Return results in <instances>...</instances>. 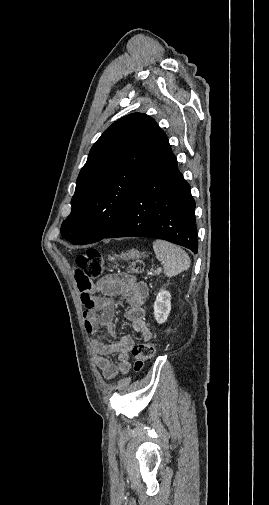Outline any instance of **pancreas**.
<instances>
[{"instance_id": "1", "label": "pancreas", "mask_w": 269, "mask_h": 505, "mask_svg": "<svg viewBox=\"0 0 269 505\" xmlns=\"http://www.w3.org/2000/svg\"><path fill=\"white\" fill-rule=\"evenodd\" d=\"M160 272H161V271L158 269V270L152 271V272H151V275H159V274H160Z\"/></svg>"}]
</instances>
